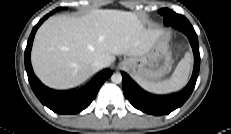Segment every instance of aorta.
<instances>
[{"label":"aorta","mask_w":231,"mask_h":134,"mask_svg":"<svg viewBox=\"0 0 231 134\" xmlns=\"http://www.w3.org/2000/svg\"><path fill=\"white\" fill-rule=\"evenodd\" d=\"M111 81L118 84L122 82V75L120 73H114L111 76Z\"/></svg>","instance_id":"1"}]
</instances>
